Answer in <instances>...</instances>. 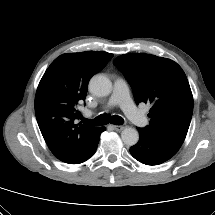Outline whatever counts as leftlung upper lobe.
<instances>
[{
    "label": "left lung upper lobe",
    "mask_w": 215,
    "mask_h": 215,
    "mask_svg": "<svg viewBox=\"0 0 215 215\" xmlns=\"http://www.w3.org/2000/svg\"><path fill=\"white\" fill-rule=\"evenodd\" d=\"M113 63L128 80L136 104H151L145 128L180 148L193 113V96L182 68L151 54H125Z\"/></svg>",
    "instance_id": "5c2ea615"
}]
</instances>
